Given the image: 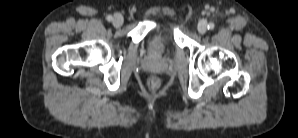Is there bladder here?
Returning <instances> with one entry per match:
<instances>
[{"label": "bladder", "mask_w": 298, "mask_h": 138, "mask_svg": "<svg viewBox=\"0 0 298 138\" xmlns=\"http://www.w3.org/2000/svg\"><path fill=\"white\" fill-rule=\"evenodd\" d=\"M170 43L171 38L167 33L163 31L155 32L147 41V53L153 58L161 57L167 51Z\"/></svg>", "instance_id": "obj_1"}]
</instances>
